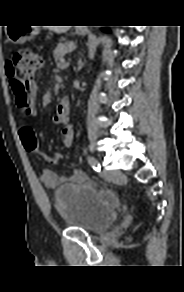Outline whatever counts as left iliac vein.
<instances>
[{
  "mask_svg": "<svg viewBox=\"0 0 184 292\" xmlns=\"http://www.w3.org/2000/svg\"><path fill=\"white\" fill-rule=\"evenodd\" d=\"M100 175L107 180H111V179L116 178L119 175V173L117 171H114V170L104 169L101 171Z\"/></svg>",
  "mask_w": 184,
  "mask_h": 292,
  "instance_id": "4c4485c4",
  "label": "left iliac vein"
}]
</instances>
